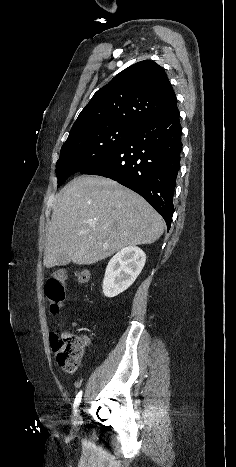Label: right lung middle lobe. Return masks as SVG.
I'll return each instance as SVG.
<instances>
[{
  "instance_id": "right-lung-middle-lobe-1",
  "label": "right lung middle lobe",
  "mask_w": 236,
  "mask_h": 467,
  "mask_svg": "<svg viewBox=\"0 0 236 467\" xmlns=\"http://www.w3.org/2000/svg\"><path fill=\"white\" fill-rule=\"evenodd\" d=\"M135 130L132 127L112 125L69 135L56 163L57 187L70 175L84 170L112 153Z\"/></svg>"
}]
</instances>
